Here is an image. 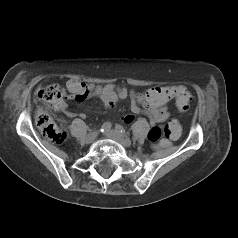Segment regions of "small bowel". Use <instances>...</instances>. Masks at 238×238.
Instances as JSON below:
<instances>
[{
    "label": "small bowel",
    "mask_w": 238,
    "mask_h": 238,
    "mask_svg": "<svg viewBox=\"0 0 238 238\" xmlns=\"http://www.w3.org/2000/svg\"><path fill=\"white\" fill-rule=\"evenodd\" d=\"M69 98L77 102H82L89 97H99L105 108H111L118 99L130 98L131 111L134 114L142 113L150 119L151 125L154 127L157 123H162L169 118V112L166 104L172 99L167 97L165 92L175 89L171 87H154L144 93H137L133 89L108 84L101 86L99 84H85L77 80H69L67 82ZM57 111L65 113L68 117H74L75 113L67 109L66 102L55 108ZM81 117H84L81 114ZM134 115L127 114L123 117L125 123H131Z\"/></svg>",
    "instance_id": "small-bowel-1"
}]
</instances>
